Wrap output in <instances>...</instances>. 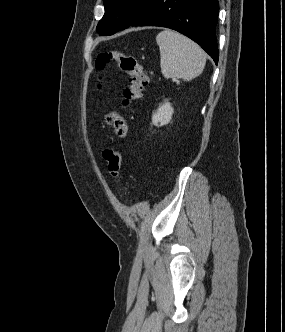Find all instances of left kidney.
I'll list each match as a JSON object with an SVG mask.
<instances>
[{"instance_id":"1","label":"left kidney","mask_w":285,"mask_h":332,"mask_svg":"<svg viewBox=\"0 0 285 332\" xmlns=\"http://www.w3.org/2000/svg\"><path fill=\"white\" fill-rule=\"evenodd\" d=\"M173 107L169 102H165L152 115V123L155 126H163L170 122L173 115Z\"/></svg>"}]
</instances>
